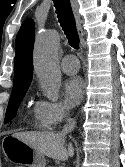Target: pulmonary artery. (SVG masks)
Wrapping results in <instances>:
<instances>
[{
	"mask_svg": "<svg viewBox=\"0 0 125 167\" xmlns=\"http://www.w3.org/2000/svg\"><path fill=\"white\" fill-rule=\"evenodd\" d=\"M60 67L66 74H76L79 71V61L74 55L68 54L61 58Z\"/></svg>",
	"mask_w": 125,
	"mask_h": 167,
	"instance_id": "e3ab8cb5",
	"label": "pulmonary artery"
}]
</instances>
